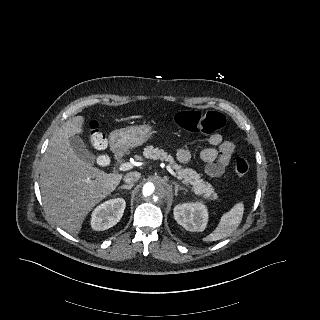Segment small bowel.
<instances>
[{
  "mask_svg": "<svg viewBox=\"0 0 320 320\" xmlns=\"http://www.w3.org/2000/svg\"><path fill=\"white\" fill-rule=\"evenodd\" d=\"M208 143L210 146L200 152V158L205 163L207 175L217 178L225 173L235 154L236 145L231 139H224L220 133L212 134ZM191 156L188 149H180L177 153V159L182 164L188 163Z\"/></svg>",
  "mask_w": 320,
  "mask_h": 320,
  "instance_id": "1",
  "label": "small bowel"
}]
</instances>
